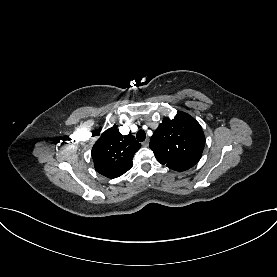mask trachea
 I'll return each mask as SVG.
<instances>
[{"label": "trachea", "instance_id": "trachea-1", "mask_svg": "<svg viewBox=\"0 0 277 277\" xmlns=\"http://www.w3.org/2000/svg\"><path fill=\"white\" fill-rule=\"evenodd\" d=\"M136 138H137V140H138L139 142L144 141L145 138H146L145 132H144L143 130H139V131L137 132V134H136Z\"/></svg>", "mask_w": 277, "mask_h": 277}]
</instances>
